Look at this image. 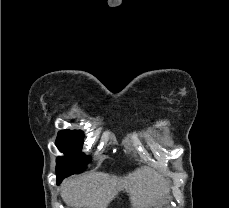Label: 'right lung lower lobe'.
<instances>
[{"mask_svg":"<svg viewBox=\"0 0 229 208\" xmlns=\"http://www.w3.org/2000/svg\"><path fill=\"white\" fill-rule=\"evenodd\" d=\"M64 178H66L64 175H62V176H57V185H59V184L62 182V180H63Z\"/></svg>","mask_w":229,"mask_h":208,"instance_id":"98d812e1","label":"right lung lower lobe"}]
</instances>
